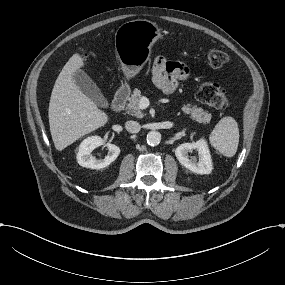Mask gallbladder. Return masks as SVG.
Returning a JSON list of instances; mask_svg holds the SVG:
<instances>
[{
    "label": "gallbladder",
    "instance_id": "bac80fb5",
    "mask_svg": "<svg viewBox=\"0 0 285 285\" xmlns=\"http://www.w3.org/2000/svg\"><path fill=\"white\" fill-rule=\"evenodd\" d=\"M75 81L77 86L91 98L98 107L107 109L110 103L103 95L97 84L88 76L84 71L78 70L75 75Z\"/></svg>",
    "mask_w": 285,
    "mask_h": 285
}]
</instances>
